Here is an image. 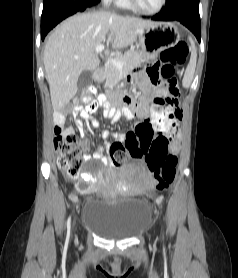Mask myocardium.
<instances>
[{"label": "myocardium", "mask_w": 238, "mask_h": 278, "mask_svg": "<svg viewBox=\"0 0 238 278\" xmlns=\"http://www.w3.org/2000/svg\"><path fill=\"white\" fill-rule=\"evenodd\" d=\"M127 1L129 3V5L137 12L144 14V15H150V16L160 13L164 9V7L167 3V0H160L159 5L155 9H145L139 5L137 0H127Z\"/></svg>", "instance_id": "1"}]
</instances>
